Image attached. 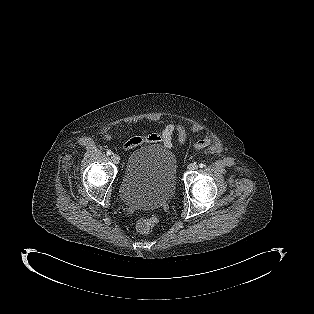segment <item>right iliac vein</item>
<instances>
[{
  "label": "right iliac vein",
  "instance_id": "right-iliac-vein-1",
  "mask_svg": "<svg viewBox=\"0 0 314 314\" xmlns=\"http://www.w3.org/2000/svg\"><path fill=\"white\" fill-rule=\"evenodd\" d=\"M111 159L114 163L118 164L120 162V157L117 154H113Z\"/></svg>",
  "mask_w": 314,
  "mask_h": 314
}]
</instances>
